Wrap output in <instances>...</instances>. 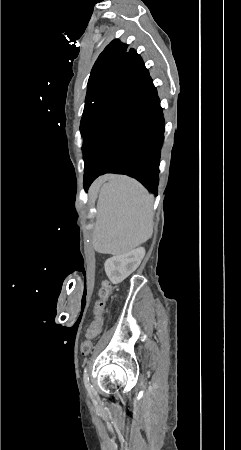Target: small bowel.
<instances>
[{
  "instance_id": "1",
  "label": "small bowel",
  "mask_w": 241,
  "mask_h": 450,
  "mask_svg": "<svg viewBox=\"0 0 241 450\" xmlns=\"http://www.w3.org/2000/svg\"><path fill=\"white\" fill-rule=\"evenodd\" d=\"M88 329H89V327H88ZM91 331H97L98 333H100V332H101V330H91Z\"/></svg>"
}]
</instances>
